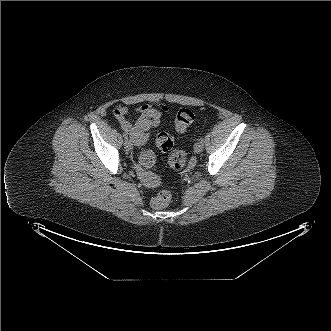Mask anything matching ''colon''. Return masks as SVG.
Returning a JSON list of instances; mask_svg holds the SVG:
<instances>
[{"label": "colon", "mask_w": 331, "mask_h": 331, "mask_svg": "<svg viewBox=\"0 0 331 331\" xmlns=\"http://www.w3.org/2000/svg\"><path fill=\"white\" fill-rule=\"evenodd\" d=\"M195 120V112L190 108L180 109L174 118V124L177 130H186ZM160 121V113L156 109H147L139 114L138 126L142 139L148 136V131L154 128ZM156 144L162 152L170 153L169 163L175 170H183L187 167V156L183 151L174 150L173 137L166 133L161 132L156 138ZM149 163H152L149 160ZM171 200V194L168 191H161L155 195L151 200V205L155 209H162L166 207Z\"/></svg>", "instance_id": "obj_1"}]
</instances>
